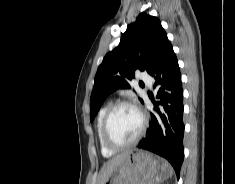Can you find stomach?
Listing matches in <instances>:
<instances>
[{
    "instance_id": "stomach-1",
    "label": "stomach",
    "mask_w": 235,
    "mask_h": 184,
    "mask_svg": "<svg viewBox=\"0 0 235 184\" xmlns=\"http://www.w3.org/2000/svg\"><path fill=\"white\" fill-rule=\"evenodd\" d=\"M168 174L169 166L165 160L137 150L128 154L123 164L114 166L105 184H161Z\"/></svg>"
}]
</instances>
